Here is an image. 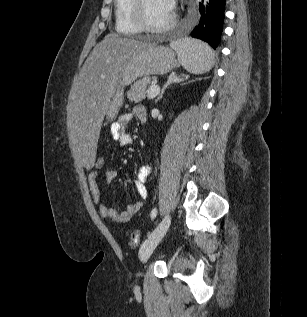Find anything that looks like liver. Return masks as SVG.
Segmentation results:
<instances>
[{"label":"liver","instance_id":"obj_1","mask_svg":"<svg viewBox=\"0 0 307 317\" xmlns=\"http://www.w3.org/2000/svg\"><path fill=\"white\" fill-rule=\"evenodd\" d=\"M150 42L109 34L80 69L68 103L70 144L80 154L83 171H94L100 128L125 61Z\"/></svg>","mask_w":307,"mask_h":317}]
</instances>
